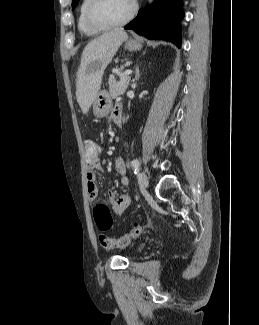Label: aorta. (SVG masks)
<instances>
[{
  "label": "aorta",
  "instance_id": "762f6f07",
  "mask_svg": "<svg viewBox=\"0 0 259 325\" xmlns=\"http://www.w3.org/2000/svg\"><path fill=\"white\" fill-rule=\"evenodd\" d=\"M149 2H152L153 0H148Z\"/></svg>",
  "mask_w": 259,
  "mask_h": 325
}]
</instances>
